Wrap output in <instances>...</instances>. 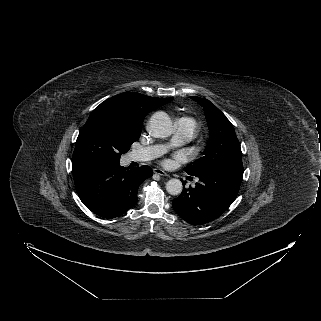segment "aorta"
Returning a JSON list of instances; mask_svg holds the SVG:
<instances>
[{"label": "aorta", "instance_id": "obj_1", "mask_svg": "<svg viewBox=\"0 0 321 321\" xmlns=\"http://www.w3.org/2000/svg\"><path fill=\"white\" fill-rule=\"evenodd\" d=\"M151 132L159 138L169 137L173 132V125L170 117L163 111L155 112L149 121ZM183 189L182 182L179 179H170L166 183V190L171 195L181 194Z\"/></svg>", "mask_w": 321, "mask_h": 321}]
</instances>
